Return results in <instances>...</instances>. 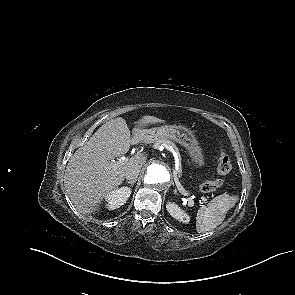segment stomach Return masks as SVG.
I'll return each instance as SVG.
<instances>
[{
  "mask_svg": "<svg viewBox=\"0 0 295 295\" xmlns=\"http://www.w3.org/2000/svg\"><path fill=\"white\" fill-rule=\"evenodd\" d=\"M171 140L183 145L196 167L204 165L202 149L193 132L182 125H165L158 128H151L144 131L143 141L153 143Z\"/></svg>",
  "mask_w": 295,
  "mask_h": 295,
  "instance_id": "0dacf381",
  "label": "stomach"
}]
</instances>
